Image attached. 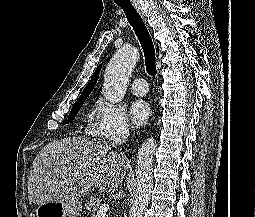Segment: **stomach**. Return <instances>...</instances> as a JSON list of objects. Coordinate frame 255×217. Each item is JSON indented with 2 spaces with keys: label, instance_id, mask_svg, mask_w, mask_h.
Segmentation results:
<instances>
[{
  "label": "stomach",
  "instance_id": "obj_1",
  "mask_svg": "<svg viewBox=\"0 0 255 217\" xmlns=\"http://www.w3.org/2000/svg\"><path fill=\"white\" fill-rule=\"evenodd\" d=\"M82 203L78 199L61 202H48L35 210L36 217H79Z\"/></svg>",
  "mask_w": 255,
  "mask_h": 217
}]
</instances>
